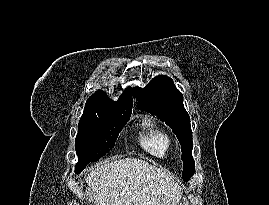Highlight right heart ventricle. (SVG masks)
Instances as JSON below:
<instances>
[{
	"mask_svg": "<svg viewBox=\"0 0 269 205\" xmlns=\"http://www.w3.org/2000/svg\"><path fill=\"white\" fill-rule=\"evenodd\" d=\"M142 127L138 140L140 147L155 158H166L171 150L170 136L149 118L143 120Z\"/></svg>",
	"mask_w": 269,
	"mask_h": 205,
	"instance_id": "obj_1",
	"label": "right heart ventricle"
}]
</instances>
